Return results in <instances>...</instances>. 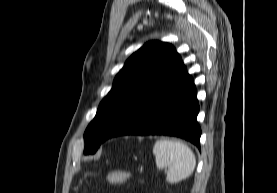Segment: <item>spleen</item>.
Here are the masks:
<instances>
[{
	"instance_id": "obj_1",
	"label": "spleen",
	"mask_w": 277,
	"mask_h": 193,
	"mask_svg": "<svg viewBox=\"0 0 277 193\" xmlns=\"http://www.w3.org/2000/svg\"><path fill=\"white\" fill-rule=\"evenodd\" d=\"M153 154L157 168H168L166 181L171 184L188 178L196 166L193 151L180 141L158 140L153 147Z\"/></svg>"
}]
</instances>
